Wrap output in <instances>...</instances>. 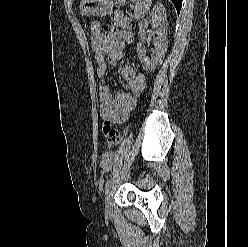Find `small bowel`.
Instances as JSON below:
<instances>
[{
  "mask_svg": "<svg viewBox=\"0 0 248 247\" xmlns=\"http://www.w3.org/2000/svg\"><path fill=\"white\" fill-rule=\"evenodd\" d=\"M132 40L131 32L116 28L102 34H93L91 37V49L95 55L99 78L100 115L104 121L103 132L108 146V150L103 154L101 160V167L104 171L111 169L114 159L111 148L120 141V134L112 128V124L124 122L133 108L128 107V92L112 93L107 84L106 75L109 65H115L124 56V41L130 43ZM120 73L130 89L136 77L134 66L126 63L121 67Z\"/></svg>",
  "mask_w": 248,
  "mask_h": 247,
  "instance_id": "obj_1",
  "label": "small bowel"
}]
</instances>
